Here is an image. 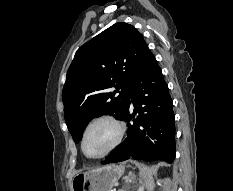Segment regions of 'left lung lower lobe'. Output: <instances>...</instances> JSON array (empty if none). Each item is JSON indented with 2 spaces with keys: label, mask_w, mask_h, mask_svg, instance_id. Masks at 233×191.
I'll use <instances>...</instances> for the list:
<instances>
[{
  "label": "left lung lower lobe",
  "mask_w": 233,
  "mask_h": 191,
  "mask_svg": "<svg viewBox=\"0 0 233 191\" xmlns=\"http://www.w3.org/2000/svg\"><path fill=\"white\" fill-rule=\"evenodd\" d=\"M130 99L135 106L129 114ZM172 99L162 71L150 53L130 84L129 100L123 115L129 134L104 164L129 158L145 161L163 160L172 163L176 156L175 120Z\"/></svg>",
  "instance_id": "obj_1"
}]
</instances>
